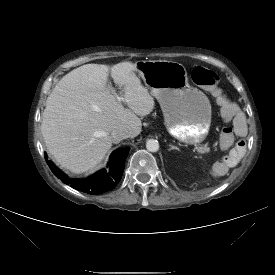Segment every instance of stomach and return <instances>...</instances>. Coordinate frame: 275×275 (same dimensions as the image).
I'll return each instance as SVG.
<instances>
[{
  "label": "stomach",
  "instance_id": "obj_1",
  "mask_svg": "<svg viewBox=\"0 0 275 275\" xmlns=\"http://www.w3.org/2000/svg\"><path fill=\"white\" fill-rule=\"evenodd\" d=\"M136 71L158 100L171 136L186 144L201 143L211 125V104L199 89L190 86L186 68L165 60L136 62Z\"/></svg>",
  "mask_w": 275,
  "mask_h": 275
}]
</instances>
